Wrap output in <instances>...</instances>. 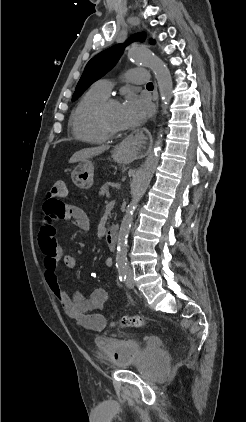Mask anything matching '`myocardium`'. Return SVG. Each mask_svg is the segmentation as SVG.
Segmentation results:
<instances>
[{
	"instance_id": "f54148a6",
	"label": "myocardium",
	"mask_w": 246,
	"mask_h": 422,
	"mask_svg": "<svg viewBox=\"0 0 246 422\" xmlns=\"http://www.w3.org/2000/svg\"><path fill=\"white\" fill-rule=\"evenodd\" d=\"M118 104H119V101L117 99L106 98L103 102H101L98 105L95 111V119H96L98 127L107 137H110V138L119 137L123 133L122 130H117L110 127V125L108 124L106 120V112L108 108L112 105H118Z\"/></svg>"
}]
</instances>
